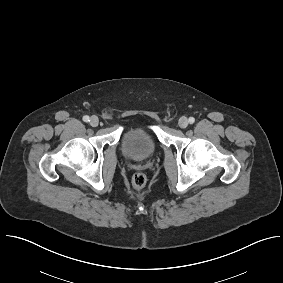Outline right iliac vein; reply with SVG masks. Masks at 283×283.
<instances>
[{"instance_id": "obj_1", "label": "right iliac vein", "mask_w": 283, "mask_h": 283, "mask_svg": "<svg viewBox=\"0 0 283 283\" xmlns=\"http://www.w3.org/2000/svg\"><path fill=\"white\" fill-rule=\"evenodd\" d=\"M98 123H99V119H98L97 116H92V117L90 118V124H91V126L96 127V126L98 125Z\"/></svg>"}]
</instances>
